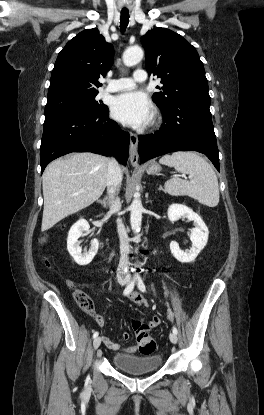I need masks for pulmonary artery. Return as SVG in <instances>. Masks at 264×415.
Segmentation results:
<instances>
[{
	"label": "pulmonary artery",
	"mask_w": 264,
	"mask_h": 415,
	"mask_svg": "<svg viewBox=\"0 0 264 415\" xmlns=\"http://www.w3.org/2000/svg\"><path fill=\"white\" fill-rule=\"evenodd\" d=\"M146 80V73L143 70L134 72L132 77L112 79L108 81L106 91L119 92L125 90H132L136 87V84Z\"/></svg>",
	"instance_id": "e3ab8cb5"
}]
</instances>
